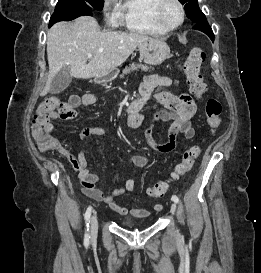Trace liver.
Instances as JSON below:
<instances>
[{"label": "liver", "instance_id": "6515ba94", "mask_svg": "<svg viewBox=\"0 0 261 273\" xmlns=\"http://www.w3.org/2000/svg\"><path fill=\"white\" fill-rule=\"evenodd\" d=\"M149 39L152 38L135 32H101L96 19L90 16L56 23L47 33L49 72L41 96L47 95L53 78L64 66L70 67V74L75 78L104 77L122 65L141 42ZM88 54L93 57L87 58Z\"/></svg>", "mask_w": 261, "mask_h": 273}]
</instances>
